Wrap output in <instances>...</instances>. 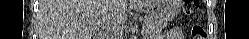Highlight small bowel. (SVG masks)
<instances>
[{
	"label": "small bowel",
	"mask_w": 249,
	"mask_h": 39,
	"mask_svg": "<svg viewBox=\"0 0 249 39\" xmlns=\"http://www.w3.org/2000/svg\"><path fill=\"white\" fill-rule=\"evenodd\" d=\"M180 30L177 29V28H173L171 29L168 33H167V36L168 38H171V39H174V38H177L178 36H180Z\"/></svg>",
	"instance_id": "1"
}]
</instances>
